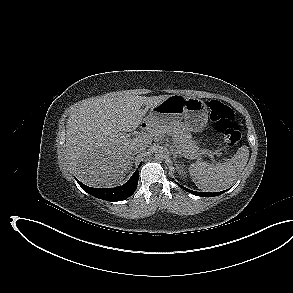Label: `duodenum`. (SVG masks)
I'll use <instances>...</instances> for the list:
<instances>
[{"label": "duodenum", "instance_id": "obj_1", "mask_svg": "<svg viewBox=\"0 0 293 293\" xmlns=\"http://www.w3.org/2000/svg\"><path fill=\"white\" fill-rule=\"evenodd\" d=\"M148 127H149L148 122H145V121H144V122L141 123V129H142V130H146Z\"/></svg>", "mask_w": 293, "mask_h": 293}]
</instances>
